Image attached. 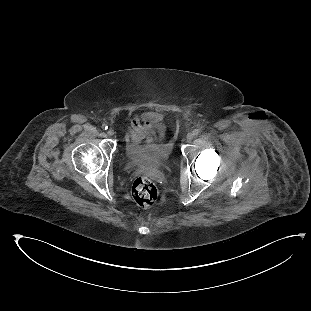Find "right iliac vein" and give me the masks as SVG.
I'll return each instance as SVG.
<instances>
[{
  "instance_id": "obj_1",
  "label": "right iliac vein",
  "mask_w": 311,
  "mask_h": 311,
  "mask_svg": "<svg viewBox=\"0 0 311 311\" xmlns=\"http://www.w3.org/2000/svg\"><path fill=\"white\" fill-rule=\"evenodd\" d=\"M114 130L113 129H108V131H107V134L109 135V136H113L114 135Z\"/></svg>"
}]
</instances>
